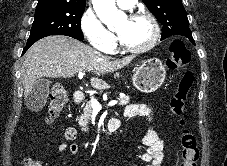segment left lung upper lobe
Returning <instances> with one entry per match:
<instances>
[{
	"label": "left lung upper lobe",
	"instance_id": "left-lung-upper-lobe-1",
	"mask_svg": "<svg viewBox=\"0 0 227 166\" xmlns=\"http://www.w3.org/2000/svg\"><path fill=\"white\" fill-rule=\"evenodd\" d=\"M163 25L161 39L181 35L193 40L186 11L181 0H142Z\"/></svg>",
	"mask_w": 227,
	"mask_h": 166
}]
</instances>
